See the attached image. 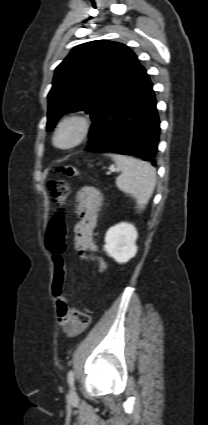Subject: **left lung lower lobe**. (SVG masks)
Returning a JSON list of instances; mask_svg holds the SVG:
<instances>
[{
    "label": "left lung lower lobe",
    "instance_id": "1",
    "mask_svg": "<svg viewBox=\"0 0 208 425\" xmlns=\"http://www.w3.org/2000/svg\"><path fill=\"white\" fill-rule=\"evenodd\" d=\"M159 131L153 85L142 67L93 121L86 150L139 156L156 166Z\"/></svg>",
    "mask_w": 208,
    "mask_h": 425
}]
</instances>
